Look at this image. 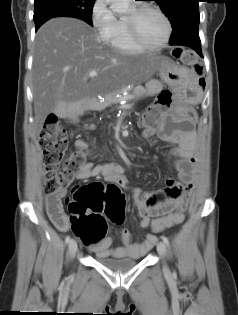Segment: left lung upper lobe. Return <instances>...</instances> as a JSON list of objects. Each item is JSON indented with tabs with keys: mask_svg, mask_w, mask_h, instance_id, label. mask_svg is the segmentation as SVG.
<instances>
[{
	"mask_svg": "<svg viewBox=\"0 0 238 315\" xmlns=\"http://www.w3.org/2000/svg\"><path fill=\"white\" fill-rule=\"evenodd\" d=\"M166 14L173 33L170 41L198 32L200 21L198 0H154Z\"/></svg>",
	"mask_w": 238,
	"mask_h": 315,
	"instance_id": "5c2ea615",
	"label": "left lung upper lobe"
}]
</instances>
